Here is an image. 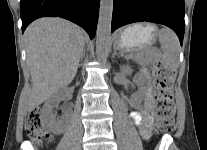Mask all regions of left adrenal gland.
<instances>
[{"instance_id":"obj_1","label":"left adrenal gland","mask_w":207,"mask_h":150,"mask_svg":"<svg viewBox=\"0 0 207 150\" xmlns=\"http://www.w3.org/2000/svg\"><path fill=\"white\" fill-rule=\"evenodd\" d=\"M116 55H117L118 57H120L119 54H117L116 49H114L113 56H116Z\"/></svg>"}]
</instances>
